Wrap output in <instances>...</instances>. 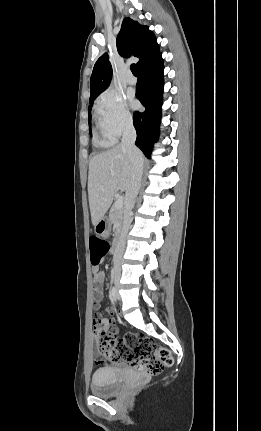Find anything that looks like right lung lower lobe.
I'll list each match as a JSON object with an SVG mask.
<instances>
[{
    "label": "right lung lower lobe",
    "instance_id": "1",
    "mask_svg": "<svg viewBox=\"0 0 261 431\" xmlns=\"http://www.w3.org/2000/svg\"><path fill=\"white\" fill-rule=\"evenodd\" d=\"M163 59L158 52L140 68L136 85V97L144 106L143 112H135L133 124L137 132L136 145L150 158L153 143L159 136L161 102L163 92Z\"/></svg>",
    "mask_w": 261,
    "mask_h": 431
}]
</instances>
